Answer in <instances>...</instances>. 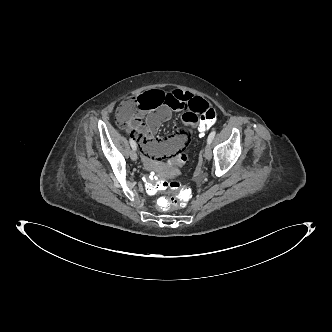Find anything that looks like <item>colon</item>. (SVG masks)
<instances>
[{"mask_svg": "<svg viewBox=\"0 0 332 332\" xmlns=\"http://www.w3.org/2000/svg\"><path fill=\"white\" fill-rule=\"evenodd\" d=\"M137 108V99L126 101L119 109L121 118L123 120L130 118ZM217 116V111L212 107L206 108L199 115V123L197 124L196 129V135L199 138H204L207 135L211 126L216 122ZM192 154L193 149L190 146H184L181 151L167 155L162 163L163 170L168 173L177 172L178 169H181L192 162ZM145 189L150 194H155L162 190H167L173 193L170 197L156 198L152 201L151 208L156 213H161L164 210H169L171 208L188 210L193 205V200L191 198L192 188L188 182L179 180L168 181L165 178L154 176L146 182Z\"/></svg>", "mask_w": 332, "mask_h": 332, "instance_id": "5ec220e1", "label": "colon"}]
</instances>
